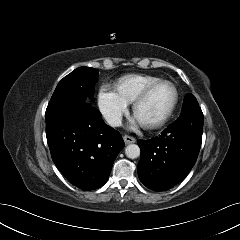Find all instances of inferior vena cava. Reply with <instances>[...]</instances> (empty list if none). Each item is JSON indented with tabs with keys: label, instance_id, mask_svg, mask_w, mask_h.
Returning <instances> with one entry per match:
<instances>
[{
	"label": "inferior vena cava",
	"instance_id": "602c4592",
	"mask_svg": "<svg viewBox=\"0 0 240 240\" xmlns=\"http://www.w3.org/2000/svg\"><path fill=\"white\" fill-rule=\"evenodd\" d=\"M106 121L111 126H120L122 124V117L118 113H110L106 116Z\"/></svg>",
	"mask_w": 240,
	"mask_h": 240
}]
</instances>
